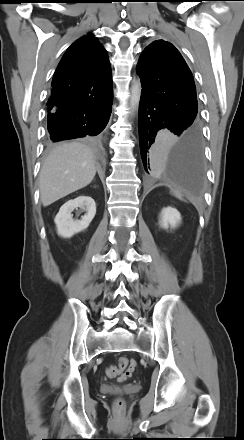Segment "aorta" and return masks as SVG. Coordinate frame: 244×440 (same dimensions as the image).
Returning <instances> with one entry per match:
<instances>
[{"instance_id":"762f6f07","label":"aorta","mask_w":244,"mask_h":440,"mask_svg":"<svg viewBox=\"0 0 244 440\" xmlns=\"http://www.w3.org/2000/svg\"><path fill=\"white\" fill-rule=\"evenodd\" d=\"M140 100V84L138 81L134 82L131 86V96H130V108L132 113L137 110Z\"/></svg>"}]
</instances>
